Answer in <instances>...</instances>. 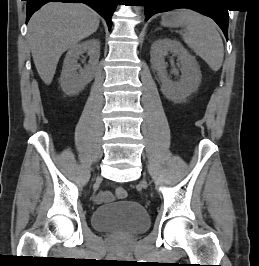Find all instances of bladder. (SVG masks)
I'll return each instance as SVG.
<instances>
[{
  "label": "bladder",
  "instance_id": "obj_1",
  "mask_svg": "<svg viewBox=\"0 0 259 266\" xmlns=\"http://www.w3.org/2000/svg\"><path fill=\"white\" fill-rule=\"evenodd\" d=\"M92 223L101 231L137 234L148 229L150 217L140 203L128 200L98 207Z\"/></svg>",
  "mask_w": 259,
  "mask_h": 266
}]
</instances>
